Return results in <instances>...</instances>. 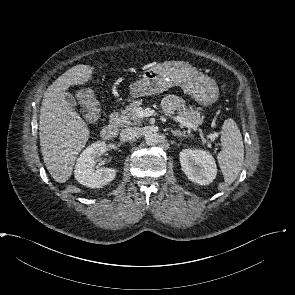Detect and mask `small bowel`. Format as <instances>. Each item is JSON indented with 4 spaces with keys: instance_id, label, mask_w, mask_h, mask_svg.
<instances>
[{
    "instance_id": "obj_1",
    "label": "small bowel",
    "mask_w": 295,
    "mask_h": 295,
    "mask_svg": "<svg viewBox=\"0 0 295 295\" xmlns=\"http://www.w3.org/2000/svg\"><path fill=\"white\" fill-rule=\"evenodd\" d=\"M162 106L167 114H173L184 106V102L178 96L169 95L163 99Z\"/></svg>"
}]
</instances>
